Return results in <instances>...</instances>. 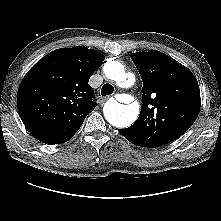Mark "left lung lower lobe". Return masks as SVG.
<instances>
[{
	"instance_id": "left-lung-lower-lobe-1",
	"label": "left lung lower lobe",
	"mask_w": 221,
	"mask_h": 221,
	"mask_svg": "<svg viewBox=\"0 0 221 221\" xmlns=\"http://www.w3.org/2000/svg\"><path fill=\"white\" fill-rule=\"evenodd\" d=\"M121 135H123L128 141H130L131 134L130 132L125 128V129H119L118 130Z\"/></svg>"
}]
</instances>
